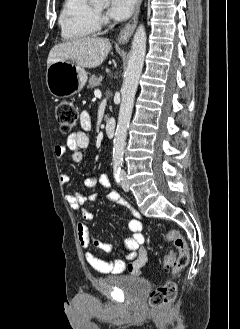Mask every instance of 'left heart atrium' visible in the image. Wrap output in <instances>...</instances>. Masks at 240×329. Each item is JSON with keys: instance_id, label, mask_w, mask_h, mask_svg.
Segmentation results:
<instances>
[{"instance_id": "1", "label": "left heart atrium", "mask_w": 240, "mask_h": 329, "mask_svg": "<svg viewBox=\"0 0 240 329\" xmlns=\"http://www.w3.org/2000/svg\"><path fill=\"white\" fill-rule=\"evenodd\" d=\"M136 0H111L108 15L115 20L127 19L135 6Z\"/></svg>"}]
</instances>
